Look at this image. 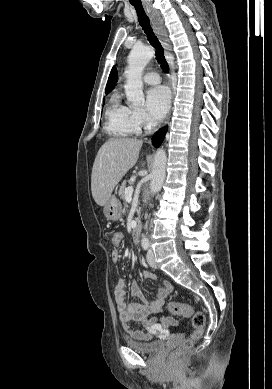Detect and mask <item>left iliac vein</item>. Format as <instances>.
<instances>
[{"label":"left iliac vein","instance_id":"obj_1","mask_svg":"<svg viewBox=\"0 0 272 389\" xmlns=\"http://www.w3.org/2000/svg\"><path fill=\"white\" fill-rule=\"evenodd\" d=\"M147 262L152 268H156L157 264L154 257V252L152 249H149L147 252Z\"/></svg>","mask_w":272,"mask_h":389}]
</instances>
